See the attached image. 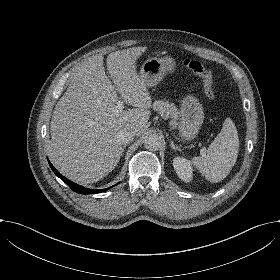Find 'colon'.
<instances>
[{"label":"colon","instance_id":"obj_1","mask_svg":"<svg viewBox=\"0 0 280 280\" xmlns=\"http://www.w3.org/2000/svg\"><path fill=\"white\" fill-rule=\"evenodd\" d=\"M182 65L202 78L206 96L213 99L215 97L213 91L214 77L211 72L200 61L192 58L183 60Z\"/></svg>","mask_w":280,"mask_h":280}]
</instances>
